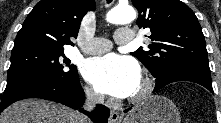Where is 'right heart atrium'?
Segmentation results:
<instances>
[{
    "mask_svg": "<svg viewBox=\"0 0 221 123\" xmlns=\"http://www.w3.org/2000/svg\"><path fill=\"white\" fill-rule=\"evenodd\" d=\"M84 92L87 99L92 102H100L102 100L101 95L91 88L85 87Z\"/></svg>",
    "mask_w": 221,
    "mask_h": 123,
    "instance_id": "obj_1",
    "label": "right heart atrium"
}]
</instances>
